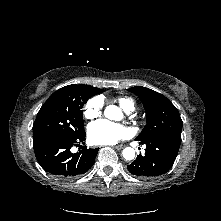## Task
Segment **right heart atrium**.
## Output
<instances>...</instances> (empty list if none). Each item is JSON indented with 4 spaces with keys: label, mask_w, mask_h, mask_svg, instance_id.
<instances>
[{
    "label": "right heart atrium",
    "mask_w": 221,
    "mask_h": 221,
    "mask_svg": "<svg viewBox=\"0 0 221 221\" xmlns=\"http://www.w3.org/2000/svg\"><path fill=\"white\" fill-rule=\"evenodd\" d=\"M103 109V100L101 97H92L83 107V116L85 119L92 120L97 118Z\"/></svg>",
    "instance_id": "right-heart-atrium-1"
}]
</instances>
